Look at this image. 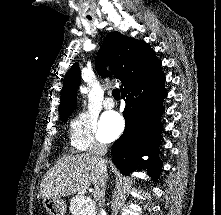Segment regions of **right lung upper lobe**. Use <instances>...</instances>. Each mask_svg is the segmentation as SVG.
<instances>
[{
	"label": "right lung upper lobe",
	"instance_id": "1",
	"mask_svg": "<svg viewBox=\"0 0 221 215\" xmlns=\"http://www.w3.org/2000/svg\"><path fill=\"white\" fill-rule=\"evenodd\" d=\"M107 61L114 76L120 79L121 93L133 89L161 69V62L146 42L111 32L104 40L96 58L99 75L107 76ZM80 84L78 63L72 65L65 76L59 105L60 118L71 115L76 106V91Z\"/></svg>",
	"mask_w": 221,
	"mask_h": 215
}]
</instances>
